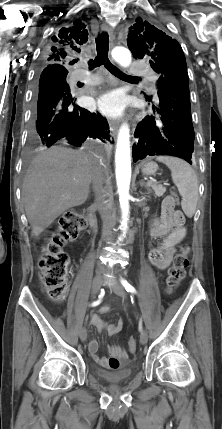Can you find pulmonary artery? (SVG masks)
<instances>
[{"mask_svg": "<svg viewBox=\"0 0 222 429\" xmlns=\"http://www.w3.org/2000/svg\"><path fill=\"white\" fill-rule=\"evenodd\" d=\"M84 62H78V69L75 72V78L80 81H84L88 85H97L99 83L98 78L85 77L86 70L83 69ZM130 73L132 75H144L147 76L153 86H155L156 77L153 73L149 72L147 67L139 66L137 63H132L130 65Z\"/></svg>", "mask_w": 222, "mask_h": 429, "instance_id": "e3ab8cb5", "label": "pulmonary artery"}]
</instances>
